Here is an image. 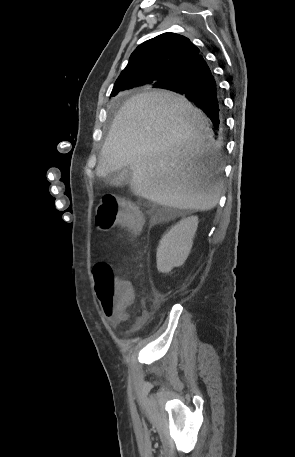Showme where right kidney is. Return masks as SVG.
Wrapping results in <instances>:
<instances>
[{"label": "right kidney", "instance_id": "ca27d5eb", "mask_svg": "<svg viewBox=\"0 0 295 457\" xmlns=\"http://www.w3.org/2000/svg\"><path fill=\"white\" fill-rule=\"evenodd\" d=\"M197 226L196 216L182 219L162 238L156 254L158 271L167 273L185 262L192 248Z\"/></svg>", "mask_w": 295, "mask_h": 457}]
</instances>
